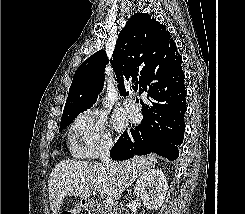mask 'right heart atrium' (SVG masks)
Here are the masks:
<instances>
[{
    "label": "right heart atrium",
    "instance_id": "1",
    "mask_svg": "<svg viewBox=\"0 0 245 214\" xmlns=\"http://www.w3.org/2000/svg\"><path fill=\"white\" fill-rule=\"evenodd\" d=\"M69 133L72 153L78 158H96L107 152L112 145L104 118L90 110L78 114Z\"/></svg>",
    "mask_w": 245,
    "mask_h": 214
}]
</instances>
